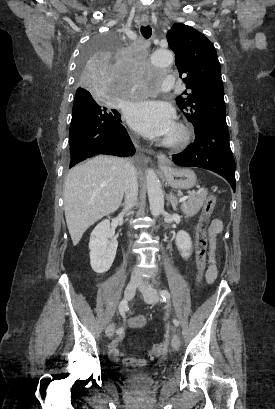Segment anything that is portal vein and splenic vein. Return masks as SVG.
Listing matches in <instances>:
<instances>
[{
	"instance_id": "18ae733b",
	"label": "portal vein and splenic vein",
	"mask_w": 275,
	"mask_h": 409,
	"mask_svg": "<svg viewBox=\"0 0 275 409\" xmlns=\"http://www.w3.org/2000/svg\"><path fill=\"white\" fill-rule=\"evenodd\" d=\"M199 190H202V188H199ZM188 196H182V198H180V202H182V200H187Z\"/></svg>"
}]
</instances>
